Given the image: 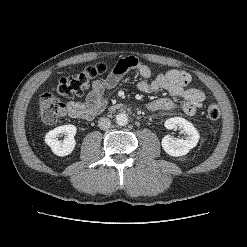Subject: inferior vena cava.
<instances>
[{
    "mask_svg": "<svg viewBox=\"0 0 247 247\" xmlns=\"http://www.w3.org/2000/svg\"><path fill=\"white\" fill-rule=\"evenodd\" d=\"M111 125V120L106 117H102L98 121V127L102 130H106L110 127Z\"/></svg>",
    "mask_w": 247,
    "mask_h": 247,
    "instance_id": "1",
    "label": "inferior vena cava"
}]
</instances>
